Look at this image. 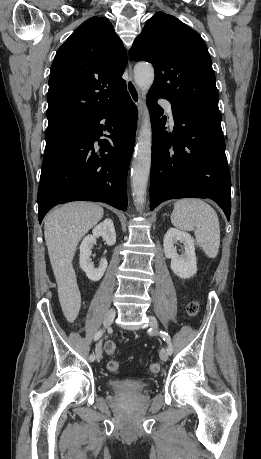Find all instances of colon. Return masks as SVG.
Listing matches in <instances>:
<instances>
[{"instance_id": "colon-1", "label": "colon", "mask_w": 261, "mask_h": 459, "mask_svg": "<svg viewBox=\"0 0 261 459\" xmlns=\"http://www.w3.org/2000/svg\"><path fill=\"white\" fill-rule=\"evenodd\" d=\"M199 303L196 302V301H192L190 302L188 305H187V314L189 317H195L198 312H199ZM105 352L108 354V355H114L117 351V346L115 344V342L113 341H107L105 343ZM106 367L107 369L110 371V372H113V373H116L120 370V364L115 361V360H109L107 363H106ZM160 364L158 363H152L150 366H149V371L151 373H158L160 371Z\"/></svg>"}]
</instances>
